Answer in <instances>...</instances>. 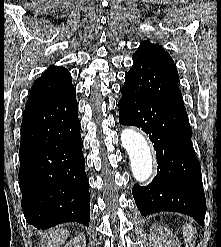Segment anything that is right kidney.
Wrapping results in <instances>:
<instances>
[{"label":"right kidney","instance_id":"right-kidney-1","mask_svg":"<svg viewBox=\"0 0 221 247\" xmlns=\"http://www.w3.org/2000/svg\"><path fill=\"white\" fill-rule=\"evenodd\" d=\"M65 247H86V239L84 234H80L66 244Z\"/></svg>","mask_w":221,"mask_h":247}]
</instances>
